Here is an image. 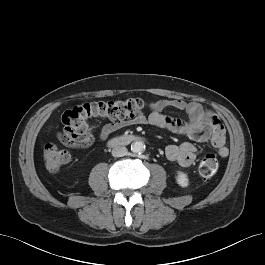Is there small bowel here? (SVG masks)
I'll return each mask as SVG.
<instances>
[{
    "mask_svg": "<svg viewBox=\"0 0 265 265\" xmlns=\"http://www.w3.org/2000/svg\"><path fill=\"white\" fill-rule=\"evenodd\" d=\"M174 108L183 111L187 119H181L164 114V110ZM218 121V124H214ZM130 124H150L155 127L170 130L188 136L196 142L211 141L221 157L228 155V149L224 144V130L219 119L199 103L187 102L181 99H159L150 104V113L141 115L130 121H116L105 124L100 131V138L107 139L112 133ZM93 139H88L84 145L68 144L70 147H85L91 145ZM198 149L191 142L179 145L171 144L165 149L168 160L177 162L179 165L191 166L197 155Z\"/></svg>",
    "mask_w": 265,
    "mask_h": 265,
    "instance_id": "small-bowel-1",
    "label": "small bowel"
}]
</instances>
